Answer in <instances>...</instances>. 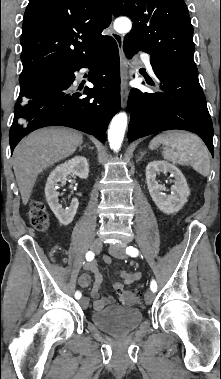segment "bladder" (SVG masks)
<instances>
[{"mask_svg":"<svg viewBox=\"0 0 221 379\" xmlns=\"http://www.w3.org/2000/svg\"><path fill=\"white\" fill-rule=\"evenodd\" d=\"M141 311L132 307L110 306L96 311L91 315V321L103 332L120 337L135 330L142 322Z\"/></svg>","mask_w":221,"mask_h":379,"instance_id":"31cf9c89","label":"bladder"}]
</instances>
